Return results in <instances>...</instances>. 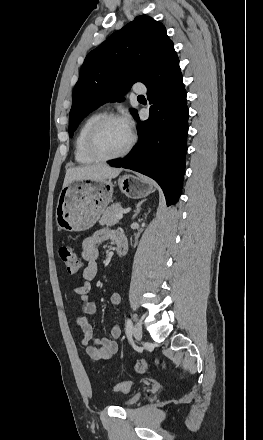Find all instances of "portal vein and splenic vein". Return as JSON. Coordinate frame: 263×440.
Returning <instances> with one entry per match:
<instances>
[{"label":"portal vein and splenic vein","mask_w":263,"mask_h":440,"mask_svg":"<svg viewBox=\"0 0 263 440\" xmlns=\"http://www.w3.org/2000/svg\"><path fill=\"white\" fill-rule=\"evenodd\" d=\"M116 217H117L118 219H122V218H123V211H119V212L116 214Z\"/></svg>","instance_id":"1"}]
</instances>
